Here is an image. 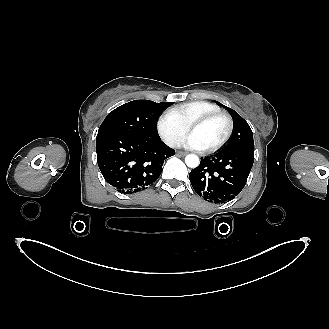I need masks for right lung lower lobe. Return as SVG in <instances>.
Masks as SVG:
<instances>
[{"label":"right lung lower lobe","instance_id":"98d812e1","mask_svg":"<svg viewBox=\"0 0 329 329\" xmlns=\"http://www.w3.org/2000/svg\"><path fill=\"white\" fill-rule=\"evenodd\" d=\"M96 149L103 177L124 194L151 186L159 178L164 160L175 154L161 139L117 132L97 134Z\"/></svg>","mask_w":329,"mask_h":329}]
</instances>
